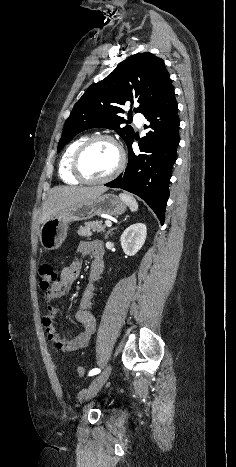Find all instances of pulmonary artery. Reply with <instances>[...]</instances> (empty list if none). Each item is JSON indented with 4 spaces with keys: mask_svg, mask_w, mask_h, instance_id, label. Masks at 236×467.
<instances>
[{
    "mask_svg": "<svg viewBox=\"0 0 236 467\" xmlns=\"http://www.w3.org/2000/svg\"><path fill=\"white\" fill-rule=\"evenodd\" d=\"M134 120H135L137 126H138V127H141L142 124H143V122H144V115H143L142 113H139V112H138V113H136V114L134 115Z\"/></svg>",
    "mask_w": 236,
    "mask_h": 467,
    "instance_id": "pulmonary-artery-1",
    "label": "pulmonary artery"
}]
</instances>
